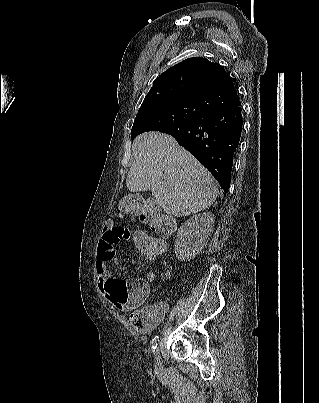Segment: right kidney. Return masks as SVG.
Instances as JSON below:
<instances>
[{"mask_svg": "<svg viewBox=\"0 0 319 403\" xmlns=\"http://www.w3.org/2000/svg\"><path fill=\"white\" fill-rule=\"evenodd\" d=\"M214 228V215L204 212L186 220L178 229L175 253L179 261L193 259L207 245Z\"/></svg>", "mask_w": 319, "mask_h": 403, "instance_id": "1", "label": "right kidney"}]
</instances>
